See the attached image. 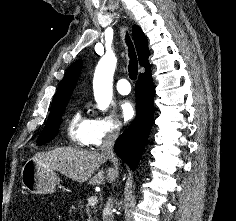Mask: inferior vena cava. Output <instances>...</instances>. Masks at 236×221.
Here are the masks:
<instances>
[{"label": "inferior vena cava", "instance_id": "1", "mask_svg": "<svg viewBox=\"0 0 236 221\" xmlns=\"http://www.w3.org/2000/svg\"><path fill=\"white\" fill-rule=\"evenodd\" d=\"M118 136H119V128L111 129L104 137L103 143L101 145V154L103 156H106L113 163V166L116 172V177L118 176L119 164H118V158L116 157L115 152H114V143ZM112 209H113V198L110 197L103 210V214H102L103 221H114Z\"/></svg>", "mask_w": 236, "mask_h": 221}]
</instances>
